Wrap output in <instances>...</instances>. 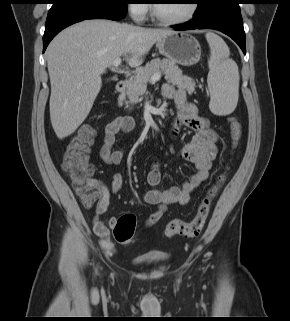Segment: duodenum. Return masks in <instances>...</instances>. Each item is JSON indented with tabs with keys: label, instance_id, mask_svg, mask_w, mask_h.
<instances>
[{
	"label": "duodenum",
	"instance_id": "duodenum-1",
	"mask_svg": "<svg viewBox=\"0 0 290 321\" xmlns=\"http://www.w3.org/2000/svg\"><path fill=\"white\" fill-rule=\"evenodd\" d=\"M127 83L125 80H119L115 85V90L117 93H124L126 90Z\"/></svg>",
	"mask_w": 290,
	"mask_h": 321
}]
</instances>
